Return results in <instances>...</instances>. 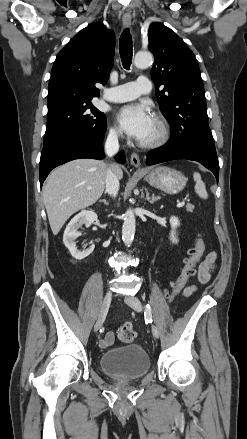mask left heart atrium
Returning a JSON list of instances; mask_svg holds the SVG:
<instances>
[{"instance_id":"left-heart-atrium-1","label":"left heart atrium","mask_w":247,"mask_h":439,"mask_svg":"<svg viewBox=\"0 0 247 439\" xmlns=\"http://www.w3.org/2000/svg\"><path fill=\"white\" fill-rule=\"evenodd\" d=\"M117 118L123 130L139 141L144 140L153 124V117L144 104H130L122 107Z\"/></svg>"}]
</instances>
